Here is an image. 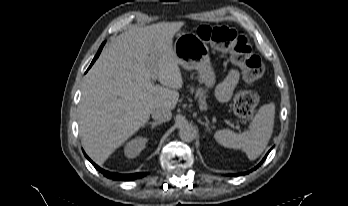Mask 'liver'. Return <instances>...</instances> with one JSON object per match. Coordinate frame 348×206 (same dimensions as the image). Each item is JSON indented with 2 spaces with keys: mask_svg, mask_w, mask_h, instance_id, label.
Returning a JSON list of instances; mask_svg holds the SVG:
<instances>
[{
  "mask_svg": "<svg viewBox=\"0 0 348 206\" xmlns=\"http://www.w3.org/2000/svg\"><path fill=\"white\" fill-rule=\"evenodd\" d=\"M183 25L131 27L103 49L86 75L79 128L83 146L97 164L143 127L155 108L176 107L183 79L173 37Z\"/></svg>",
  "mask_w": 348,
  "mask_h": 206,
  "instance_id": "obj_1",
  "label": "liver"
}]
</instances>
